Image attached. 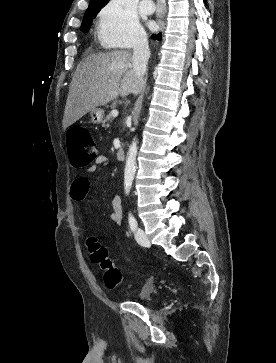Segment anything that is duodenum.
<instances>
[{
    "mask_svg": "<svg viewBox=\"0 0 276 363\" xmlns=\"http://www.w3.org/2000/svg\"><path fill=\"white\" fill-rule=\"evenodd\" d=\"M117 159L122 161L125 159V150L123 147H120L116 152Z\"/></svg>",
    "mask_w": 276,
    "mask_h": 363,
    "instance_id": "1",
    "label": "duodenum"
}]
</instances>
